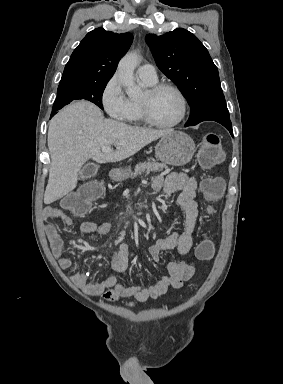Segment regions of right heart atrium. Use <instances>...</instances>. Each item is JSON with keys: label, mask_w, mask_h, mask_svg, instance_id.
I'll return each mask as SVG.
<instances>
[{"label": "right heart atrium", "mask_w": 283, "mask_h": 384, "mask_svg": "<svg viewBox=\"0 0 283 384\" xmlns=\"http://www.w3.org/2000/svg\"><path fill=\"white\" fill-rule=\"evenodd\" d=\"M101 104L109 121L123 126L128 122L130 105L125 95L123 85L117 73H114L103 85Z\"/></svg>", "instance_id": "1"}]
</instances>
